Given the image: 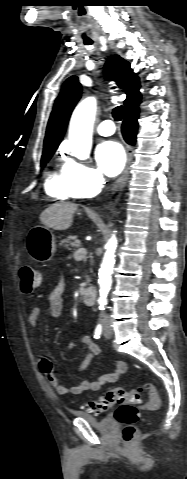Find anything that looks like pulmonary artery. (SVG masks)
<instances>
[{
    "mask_svg": "<svg viewBox=\"0 0 187 479\" xmlns=\"http://www.w3.org/2000/svg\"><path fill=\"white\" fill-rule=\"evenodd\" d=\"M97 132L102 136H110L115 132V125L111 120H105L98 125Z\"/></svg>",
    "mask_w": 187,
    "mask_h": 479,
    "instance_id": "e3ab8cb5",
    "label": "pulmonary artery"
}]
</instances>
